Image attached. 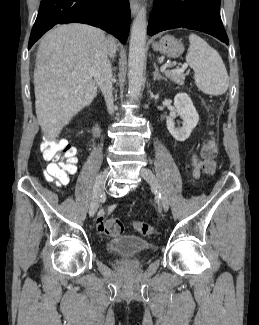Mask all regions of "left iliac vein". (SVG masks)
I'll return each instance as SVG.
<instances>
[{
  "instance_id": "obj_1",
  "label": "left iliac vein",
  "mask_w": 259,
  "mask_h": 325,
  "mask_svg": "<svg viewBox=\"0 0 259 325\" xmlns=\"http://www.w3.org/2000/svg\"><path fill=\"white\" fill-rule=\"evenodd\" d=\"M140 175L142 178H144L153 188L157 189L160 193L161 197V203L165 211H168L169 209V200L163 189L161 188L158 179L154 175V173L146 168L142 167L140 169Z\"/></svg>"
}]
</instances>
